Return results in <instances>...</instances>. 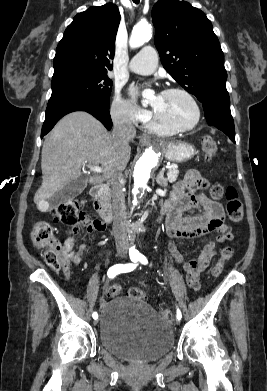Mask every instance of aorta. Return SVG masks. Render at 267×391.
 I'll use <instances>...</instances> for the list:
<instances>
[{
    "mask_svg": "<svg viewBox=\"0 0 267 391\" xmlns=\"http://www.w3.org/2000/svg\"><path fill=\"white\" fill-rule=\"evenodd\" d=\"M152 37V27L148 23H138L132 31L129 39V45L131 48H138L145 42L149 41ZM158 161V154L153 148H147L142 156L137 161L134 171V186L133 195L134 203H137L139 198L147 187V183L150 179L152 169L155 167Z\"/></svg>",
    "mask_w": 267,
    "mask_h": 391,
    "instance_id": "1",
    "label": "aorta"
}]
</instances>
